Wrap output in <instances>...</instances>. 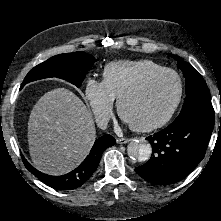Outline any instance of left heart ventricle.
I'll use <instances>...</instances> for the list:
<instances>
[{"label":"left heart ventricle","instance_id":"1","mask_svg":"<svg viewBox=\"0 0 221 221\" xmlns=\"http://www.w3.org/2000/svg\"><path fill=\"white\" fill-rule=\"evenodd\" d=\"M177 93L176 78L172 75L160 76L124 102L123 116L128 123L134 125L158 121L169 111Z\"/></svg>","mask_w":221,"mask_h":221}]
</instances>
